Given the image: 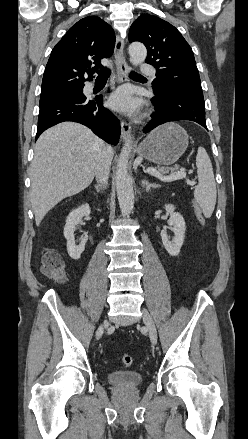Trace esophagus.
<instances>
[{"mask_svg":"<svg viewBox=\"0 0 248 439\" xmlns=\"http://www.w3.org/2000/svg\"><path fill=\"white\" fill-rule=\"evenodd\" d=\"M116 72L120 82L124 83L128 80L127 73L129 72V66L124 56V40L122 37H116V43L114 48ZM131 132V125L126 121H121V137L125 141L129 138Z\"/></svg>","mask_w":248,"mask_h":439,"instance_id":"obj_1","label":"esophagus"}]
</instances>
